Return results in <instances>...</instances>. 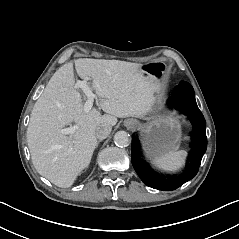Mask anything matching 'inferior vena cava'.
I'll return each mask as SVG.
<instances>
[{
  "label": "inferior vena cava",
  "instance_id": "inferior-vena-cava-1",
  "mask_svg": "<svg viewBox=\"0 0 239 239\" xmlns=\"http://www.w3.org/2000/svg\"><path fill=\"white\" fill-rule=\"evenodd\" d=\"M112 130V126L109 124H103L96 129L95 136L97 139L102 140L109 136Z\"/></svg>",
  "mask_w": 239,
  "mask_h": 239
}]
</instances>
